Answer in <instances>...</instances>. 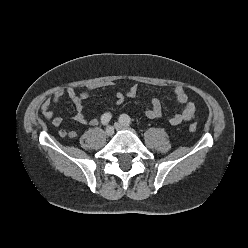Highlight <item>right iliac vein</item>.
<instances>
[{"mask_svg":"<svg viewBox=\"0 0 248 248\" xmlns=\"http://www.w3.org/2000/svg\"><path fill=\"white\" fill-rule=\"evenodd\" d=\"M114 134V127L113 126H108L106 128V135L111 137Z\"/></svg>","mask_w":248,"mask_h":248,"instance_id":"right-iliac-vein-1","label":"right iliac vein"}]
</instances>
